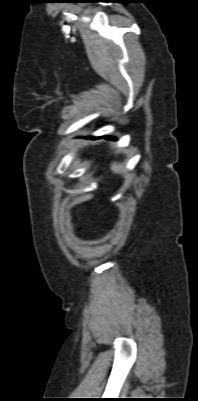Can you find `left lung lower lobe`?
<instances>
[{
	"label": "left lung lower lobe",
	"mask_w": 198,
	"mask_h": 401,
	"mask_svg": "<svg viewBox=\"0 0 198 401\" xmlns=\"http://www.w3.org/2000/svg\"><path fill=\"white\" fill-rule=\"evenodd\" d=\"M90 139H96L94 137H89ZM97 138H101V137H97ZM105 139H109V140H115V138L112 137H104Z\"/></svg>",
	"instance_id": "left-lung-lower-lobe-1"
}]
</instances>
